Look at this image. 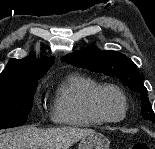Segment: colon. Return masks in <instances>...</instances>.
I'll use <instances>...</instances> for the list:
<instances>
[{
  "instance_id": "obj_1",
  "label": "colon",
  "mask_w": 155,
  "mask_h": 149,
  "mask_svg": "<svg viewBox=\"0 0 155 149\" xmlns=\"http://www.w3.org/2000/svg\"><path fill=\"white\" fill-rule=\"evenodd\" d=\"M131 149H150L147 143H135L131 146Z\"/></svg>"
}]
</instances>
